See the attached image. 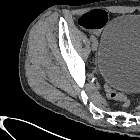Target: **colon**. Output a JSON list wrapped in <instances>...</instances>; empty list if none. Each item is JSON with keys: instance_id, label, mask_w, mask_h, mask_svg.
I'll list each match as a JSON object with an SVG mask.
<instances>
[{"instance_id": "obj_1", "label": "colon", "mask_w": 140, "mask_h": 140, "mask_svg": "<svg viewBox=\"0 0 140 140\" xmlns=\"http://www.w3.org/2000/svg\"><path fill=\"white\" fill-rule=\"evenodd\" d=\"M105 90H106L107 96L110 99L120 102L123 106H128L129 105L130 101L123 93H121L118 90L112 88L111 86H106Z\"/></svg>"}]
</instances>
